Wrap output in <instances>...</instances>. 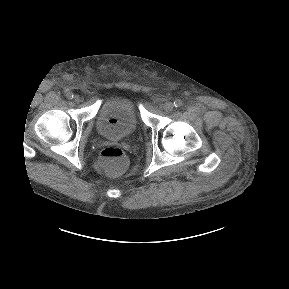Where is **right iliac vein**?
Returning a JSON list of instances; mask_svg holds the SVG:
<instances>
[{
    "mask_svg": "<svg viewBox=\"0 0 289 289\" xmlns=\"http://www.w3.org/2000/svg\"><path fill=\"white\" fill-rule=\"evenodd\" d=\"M74 101H75L76 103H79V102L81 101V97H80L79 95H75Z\"/></svg>",
    "mask_w": 289,
    "mask_h": 289,
    "instance_id": "1",
    "label": "right iliac vein"
}]
</instances>
